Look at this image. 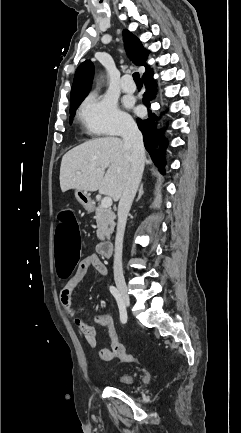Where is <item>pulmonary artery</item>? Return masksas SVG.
<instances>
[{
	"label": "pulmonary artery",
	"mask_w": 241,
	"mask_h": 433,
	"mask_svg": "<svg viewBox=\"0 0 241 433\" xmlns=\"http://www.w3.org/2000/svg\"><path fill=\"white\" fill-rule=\"evenodd\" d=\"M121 87L124 92L132 93L135 91L136 86L135 84L130 80L129 75L123 76L121 80Z\"/></svg>",
	"instance_id": "obj_1"
}]
</instances>
